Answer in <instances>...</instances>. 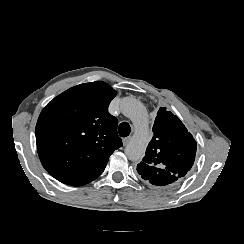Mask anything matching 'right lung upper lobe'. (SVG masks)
I'll use <instances>...</instances> for the list:
<instances>
[{"label":"right lung upper lobe","mask_w":244,"mask_h":244,"mask_svg":"<svg viewBox=\"0 0 244 244\" xmlns=\"http://www.w3.org/2000/svg\"><path fill=\"white\" fill-rule=\"evenodd\" d=\"M117 92L102 81L72 87L50 101L36 125L39 158L58 181L80 186L97 178L122 146L108 106Z\"/></svg>","instance_id":"1"}]
</instances>
